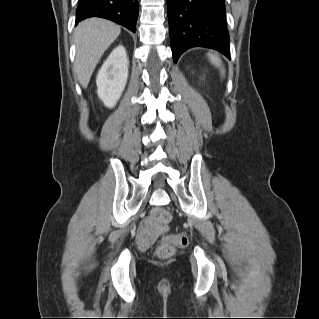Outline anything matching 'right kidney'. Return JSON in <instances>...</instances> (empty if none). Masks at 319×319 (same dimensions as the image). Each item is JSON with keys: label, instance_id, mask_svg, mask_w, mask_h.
I'll return each mask as SVG.
<instances>
[{"label": "right kidney", "instance_id": "1", "mask_svg": "<svg viewBox=\"0 0 319 319\" xmlns=\"http://www.w3.org/2000/svg\"><path fill=\"white\" fill-rule=\"evenodd\" d=\"M129 61L125 48L116 47L98 72L97 94L104 105L112 108L120 99L128 79Z\"/></svg>", "mask_w": 319, "mask_h": 319}]
</instances>
